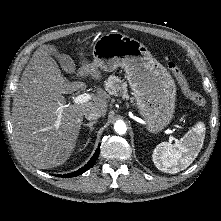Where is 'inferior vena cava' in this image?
<instances>
[{"mask_svg":"<svg viewBox=\"0 0 221 221\" xmlns=\"http://www.w3.org/2000/svg\"><path fill=\"white\" fill-rule=\"evenodd\" d=\"M84 115L87 120H96L99 117H101V112L98 110L92 109V110H88L87 112H85Z\"/></svg>","mask_w":221,"mask_h":221,"instance_id":"inferior-vena-cava-1","label":"inferior vena cava"}]
</instances>
